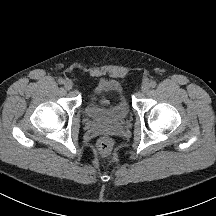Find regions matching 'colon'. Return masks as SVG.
Wrapping results in <instances>:
<instances>
[{
  "mask_svg": "<svg viewBox=\"0 0 216 216\" xmlns=\"http://www.w3.org/2000/svg\"><path fill=\"white\" fill-rule=\"evenodd\" d=\"M97 149L103 156H111L114 152V142L110 137L103 136L97 142Z\"/></svg>",
  "mask_w": 216,
  "mask_h": 216,
  "instance_id": "obj_1",
  "label": "colon"
}]
</instances>
